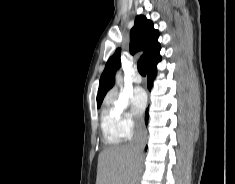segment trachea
Instances as JSON below:
<instances>
[{
    "label": "trachea",
    "mask_w": 235,
    "mask_h": 184,
    "mask_svg": "<svg viewBox=\"0 0 235 184\" xmlns=\"http://www.w3.org/2000/svg\"><path fill=\"white\" fill-rule=\"evenodd\" d=\"M137 68H138V71L141 75H143V76L146 75L144 60H139L138 61Z\"/></svg>",
    "instance_id": "obj_1"
}]
</instances>
